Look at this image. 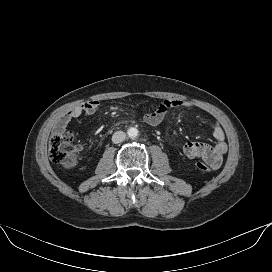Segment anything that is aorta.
<instances>
[{
  "label": "aorta",
  "mask_w": 272,
  "mask_h": 272,
  "mask_svg": "<svg viewBox=\"0 0 272 272\" xmlns=\"http://www.w3.org/2000/svg\"><path fill=\"white\" fill-rule=\"evenodd\" d=\"M127 134L130 138H136L138 136V130L134 127L128 129Z\"/></svg>",
  "instance_id": "obj_1"
}]
</instances>
